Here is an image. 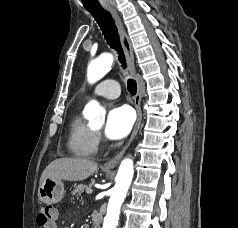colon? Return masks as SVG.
Here are the masks:
<instances>
[{
  "instance_id": "obj_1",
  "label": "colon",
  "mask_w": 238,
  "mask_h": 228,
  "mask_svg": "<svg viewBox=\"0 0 238 228\" xmlns=\"http://www.w3.org/2000/svg\"><path fill=\"white\" fill-rule=\"evenodd\" d=\"M58 217V209L55 206L41 207L37 215L39 228H49Z\"/></svg>"
}]
</instances>
